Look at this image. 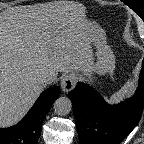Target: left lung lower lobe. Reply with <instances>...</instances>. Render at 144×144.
Returning a JSON list of instances; mask_svg holds the SVG:
<instances>
[{"mask_svg": "<svg viewBox=\"0 0 144 144\" xmlns=\"http://www.w3.org/2000/svg\"><path fill=\"white\" fill-rule=\"evenodd\" d=\"M72 101L80 144H118L140 121L144 107V60L135 95L118 105H108L87 84L79 82L68 93Z\"/></svg>", "mask_w": 144, "mask_h": 144, "instance_id": "obj_1", "label": "left lung lower lobe"}]
</instances>
